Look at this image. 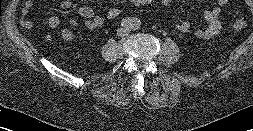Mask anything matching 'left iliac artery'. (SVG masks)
Listing matches in <instances>:
<instances>
[{
    "instance_id": "44dca946",
    "label": "left iliac artery",
    "mask_w": 253,
    "mask_h": 131,
    "mask_svg": "<svg viewBox=\"0 0 253 131\" xmlns=\"http://www.w3.org/2000/svg\"><path fill=\"white\" fill-rule=\"evenodd\" d=\"M133 25L138 26V24H136V23H135V24H133Z\"/></svg>"
}]
</instances>
